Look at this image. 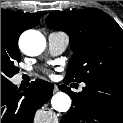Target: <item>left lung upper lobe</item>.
<instances>
[{
	"label": "left lung upper lobe",
	"instance_id": "left-lung-upper-lobe-1",
	"mask_svg": "<svg viewBox=\"0 0 123 123\" xmlns=\"http://www.w3.org/2000/svg\"><path fill=\"white\" fill-rule=\"evenodd\" d=\"M46 24L69 35L73 55L66 80L123 82V30L108 14L94 8L56 12Z\"/></svg>",
	"mask_w": 123,
	"mask_h": 123
}]
</instances>
